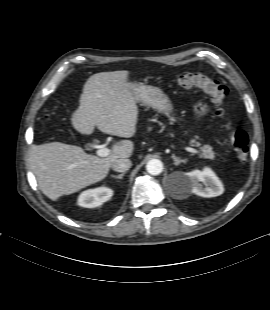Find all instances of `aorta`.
Wrapping results in <instances>:
<instances>
[{
	"mask_svg": "<svg viewBox=\"0 0 270 310\" xmlns=\"http://www.w3.org/2000/svg\"><path fill=\"white\" fill-rule=\"evenodd\" d=\"M146 170L151 175H159L163 171V164L158 159H151L147 162Z\"/></svg>",
	"mask_w": 270,
	"mask_h": 310,
	"instance_id": "obj_1",
	"label": "aorta"
}]
</instances>
